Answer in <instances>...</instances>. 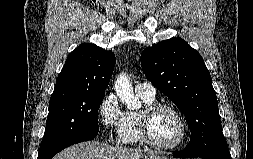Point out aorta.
I'll return each instance as SVG.
<instances>
[{"instance_id":"762f6f07","label":"aorta","mask_w":253,"mask_h":159,"mask_svg":"<svg viewBox=\"0 0 253 159\" xmlns=\"http://www.w3.org/2000/svg\"><path fill=\"white\" fill-rule=\"evenodd\" d=\"M115 91L120 100L130 110H138L141 107L140 100L135 96L130 79L125 74H120L115 81Z\"/></svg>"}]
</instances>
